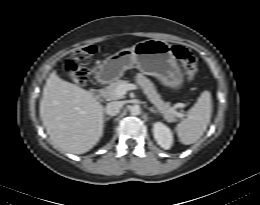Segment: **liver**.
<instances>
[{"instance_id":"obj_1","label":"liver","mask_w":260,"mask_h":205,"mask_svg":"<svg viewBox=\"0 0 260 205\" xmlns=\"http://www.w3.org/2000/svg\"><path fill=\"white\" fill-rule=\"evenodd\" d=\"M104 108L87 91L61 79L53 71L40 101V117L47 134L61 150L83 154L92 149L103 132Z\"/></svg>"}]
</instances>
